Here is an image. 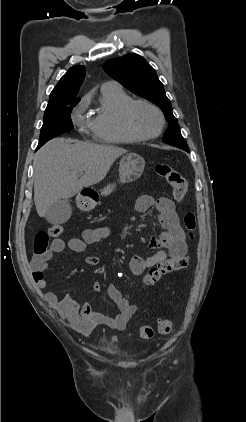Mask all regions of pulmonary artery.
<instances>
[{"instance_id": "pulmonary-artery-1", "label": "pulmonary artery", "mask_w": 246, "mask_h": 422, "mask_svg": "<svg viewBox=\"0 0 246 422\" xmlns=\"http://www.w3.org/2000/svg\"><path fill=\"white\" fill-rule=\"evenodd\" d=\"M106 86H116V84L113 82H107L103 85V87H106Z\"/></svg>"}]
</instances>
